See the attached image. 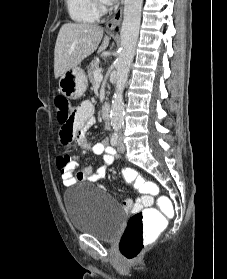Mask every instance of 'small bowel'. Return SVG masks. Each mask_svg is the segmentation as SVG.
<instances>
[{"mask_svg": "<svg viewBox=\"0 0 227 279\" xmlns=\"http://www.w3.org/2000/svg\"><path fill=\"white\" fill-rule=\"evenodd\" d=\"M94 105L91 101L86 100L81 103L76 116L75 126L79 128L78 131H73L69 139L75 140L79 147L83 150V153H92L96 155H103L104 165L94 172L92 166H86L82 170L75 173L76 168L81 162L83 155L75 156H61L56 160V168L61 176L63 185L70 187L75 185L77 182H97L105 177L108 165L116 160V151L108 144L110 139L106 136L102 142L90 143L86 139L87 128L95 124V118L93 116ZM108 132L110 128L105 127ZM132 168L122 169V174L125 176L127 171H132ZM153 199L151 196L143 198L131 197L123 201V205L127 210L138 211L145 206L151 205Z\"/></svg>", "mask_w": 227, "mask_h": 279, "instance_id": "c3829d8e", "label": "small bowel"}]
</instances>
